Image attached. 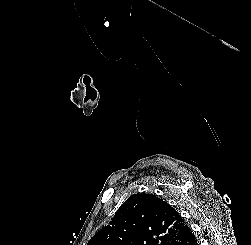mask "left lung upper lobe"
<instances>
[{
	"label": "left lung upper lobe",
	"instance_id": "obj_1",
	"mask_svg": "<svg viewBox=\"0 0 251 245\" xmlns=\"http://www.w3.org/2000/svg\"><path fill=\"white\" fill-rule=\"evenodd\" d=\"M184 219L152 194H133L87 245H170L186 227Z\"/></svg>",
	"mask_w": 251,
	"mask_h": 245
}]
</instances>
